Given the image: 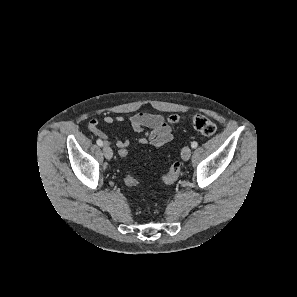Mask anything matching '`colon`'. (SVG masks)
I'll use <instances>...</instances> for the list:
<instances>
[{"label": "colon", "instance_id": "colon-1", "mask_svg": "<svg viewBox=\"0 0 297 297\" xmlns=\"http://www.w3.org/2000/svg\"><path fill=\"white\" fill-rule=\"evenodd\" d=\"M182 118L178 115L169 116L167 119L168 124L174 125L181 122ZM190 122L193 128L205 136H212L216 132V125L215 123L209 119L207 116L203 114H194L190 118ZM117 155L119 158L124 159L129 156V151L126 147H121L117 150ZM181 171V164L179 162H175L171 165L168 173L162 177V181L165 184H171L178 178ZM125 184L128 187L135 188L139 185L137 179L132 176L131 174H127L124 178ZM144 212H148V208L144 209Z\"/></svg>", "mask_w": 297, "mask_h": 297}]
</instances>
